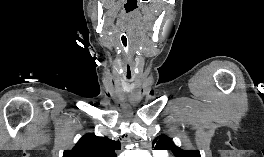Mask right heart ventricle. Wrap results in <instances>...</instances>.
Instances as JSON below:
<instances>
[{
    "label": "right heart ventricle",
    "mask_w": 264,
    "mask_h": 157,
    "mask_svg": "<svg viewBox=\"0 0 264 157\" xmlns=\"http://www.w3.org/2000/svg\"><path fill=\"white\" fill-rule=\"evenodd\" d=\"M155 157H168L167 155L155 154Z\"/></svg>",
    "instance_id": "e07e8e85"
}]
</instances>
